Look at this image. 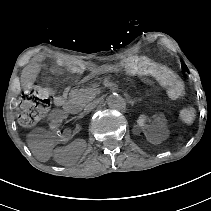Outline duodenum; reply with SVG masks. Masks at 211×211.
Returning a JSON list of instances; mask_svg holds the SVG:
<instances>
[{"instance_id": "duodenum-1", "label": "duodenum", "mask_w": 211, "mask_h": 211, "mask_svg": "<svg viewBox=\"0 0 211 211\" xmlns=\"http://www.w3.org/2000/svg\"><path fill=\"white\" fill-rule=\"evenodd\" d=\"M64 110L71 115H75L80 111V105L75 100H67L63 105Z\"/></svg>"}]
</instances>
